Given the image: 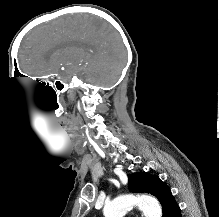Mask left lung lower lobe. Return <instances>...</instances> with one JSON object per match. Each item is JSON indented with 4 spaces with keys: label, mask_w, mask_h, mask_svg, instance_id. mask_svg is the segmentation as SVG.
Here are the masks:
<instances>
[{
    "label": "left lung lower lobe",
    "mask_w": 219,
    "mask_h": 217,
    "mask_svg": "<svg viewBox=\"0 0 219 217\" xmlns=\"http://www.w3.org/2000/svg\"><path fill=\"white\" fill-rule=\"evenodd\" d=\"M165 217H181V211L176 202L171 204Z\"/></svg>",
    "instance_id": "left-lung-lower-lobe-1"
}]
</instances>
